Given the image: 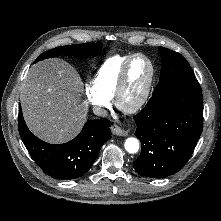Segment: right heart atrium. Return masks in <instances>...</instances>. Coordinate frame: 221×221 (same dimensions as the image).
Segmentation results:
<instances>
[{
  "mask_svg": "<svg viewBox=\"0 0 221 221\" xmlns=\"http://www.w3.org/2000/svg\"><path fill=\"white\" fill-rule=\"evenodd\" d=\"M85 95L89 103L100 114L104 113L111 105V99L102 95L94 86L93 82L85 85Z\"/></svg>",
  "mask_w": 221,
  "mask_h": 221,
  "instance_id": "d8ad5b80",
  "label": "right heart atrium"
}]
</instances>
